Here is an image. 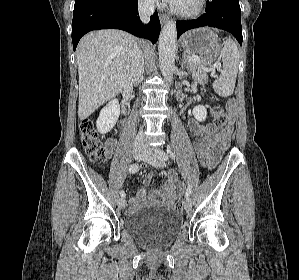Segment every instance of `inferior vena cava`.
Segmentation results:
<instances>
[{"instance_id":"inferior-vena-cava-1","label":"inferior vena cava","mask_w":299,"mask_h":280,"mask_svg":"<svg viewBox=\"0 0 299 280\" xmlns=\"http://www.w3.org/2000/svg\"><path fill=\"white\" fill-rule=\"evenodd\" d=\"M154 7H155V0L139 1V15L143 23L149 22V18L154 12ZM143 73H144V55L142 50L138 46H136L132 55L128 82L132 85L138 84L143 77ZM136 143L142 145H144L145 143V136L142 130L138 133L136 137Z\"/></svg>"}]
</instances>
